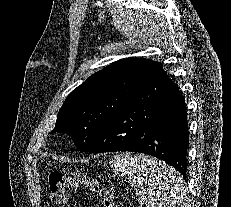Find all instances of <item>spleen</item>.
I'll return each instance as SVG.
<instances>
[{"label": "spleen", "instance_id": "obj_1", "mask_svg": "<svg viewBox=\"0 0 231 207\" xmlns=\"http://www.w3.org/2000/svg\"><path fill=\"white\" fill-rule=\"evenodd\" d=\"M113 172L128 176L144 207H175L184 200L183 181L165 163L144 154L123 153L110 161Z\"/></svg>", "mask_w": 231, "mask_h": 207}]
</instances>
